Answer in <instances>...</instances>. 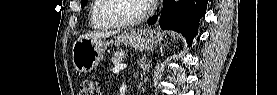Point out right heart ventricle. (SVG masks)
Here are the masks:
<instances>
[{
  "mask_svg": "<svg viewBox=\"0 0 277 95\" xmlns=\"http://www.w3.org/2000/svg\"><path fill=\"white\" fill-rule=\"evenodd\" d=\"M103 0H92L91 8H90V25L95 29H108L113 25H110L103 20H101L98 15V9L102 5Z\"/></svg>",
  "mask_w": 277,
  "mask_h": 95,
  "instance_id": "1",
  "label": "right heart ventricle"
}]
</instances>
